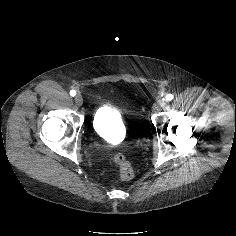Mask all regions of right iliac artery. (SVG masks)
I'll return each instance as SVG.
<instances>
[{"label": "right iliac artery", "instance_id": "right-iliac-artery-1", "mask_svg": "<svg viewBox=\"0 0 236 236\" xmlns=\"http://www.w3.org/2000/svg\"><path fill=\"white\" fill-rule=\"evenodd\" d=\"M70 95H71V96H75V95H76V91H75V90H71V91H70Z\"/></svg>", "mask_w": 236, "mask_h": 236}]
</instances>
